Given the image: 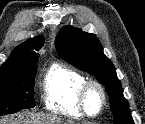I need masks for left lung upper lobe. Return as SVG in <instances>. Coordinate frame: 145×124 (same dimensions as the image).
Returning <instances> with one entry per match:
<instances>
[{
    "label": "left lung upper lobe",
    "instance_id": "1",
    "mask_svg": "<svg viewBox=\"0 0 145 124\" xmlns=\"http://www.w3.org/2000/svg\"><path fill=\"white\" fill-rule=\"evenodd\" d=\"M55 46L64 60L95 76L105 86L114 115V124H134L116 70L103 54L102 46L94 34L67 26L58 33Z\"/></svg>",
    "mask_w": 145,
    "mask_h": 124
}]
</instances>
